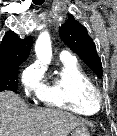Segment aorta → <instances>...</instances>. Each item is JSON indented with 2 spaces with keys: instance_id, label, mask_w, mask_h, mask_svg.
Returning <instances> with one entry per match:
<instances>
[{
  "instance_id": "obj_1",
  "label": "aorta",
  "mask_w": 117,
  "mask_h": 136,
  "mask_svg": "<svg viewBox=\"0 0 117 136\" xmlns=\"http://www.w3.org/2000/svg\"><path fill=\"white\" fill-rule=\"evenodd\" d=\"M35 52L38 60L47 65L50 64L52 58V47L50 36L47 32H43L35 44Z\"/></svg>"
}]
</instances>
